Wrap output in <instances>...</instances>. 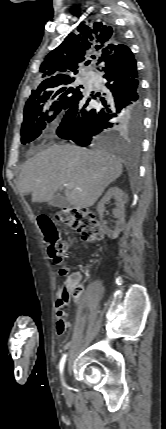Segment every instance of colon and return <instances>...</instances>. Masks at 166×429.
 Wrapping results in <instances>:
<instances>
[{
	"label": "colon",
	"mask_w": 166,
	"mask_h": 429,
	"mask_svg": "<svg viewBox=\"0 0 166 429\" xmlns=\"http://www.w3.org/2000/svg\"><path fill=\"white\" fill-rule=\"evenodd\" d=\"M56 221L76 230L84 240L95 241L102 238V229L97 217L87 209L62 208L56 214ZM38 224L44 235L50 258L56 263L61 262L67 255V246L53 220L48 216H40ZM63 290L66 293L71 292L74 297L82 294V287L73 276L64 282Z\"/></svg>",
	"instance_id": "colon-1"
}]
</instances>
